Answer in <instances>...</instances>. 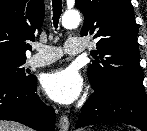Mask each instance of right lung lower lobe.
Here are the masks:
<instances>
[{
    "instance_id": "obj_1",
    "label": "right lung lower lobe",
    "mask_w": 147,
    "mask_h": 131,
    "mask_svg": "<svg viewBox=\"0 0 147 131\" xmlns=\"http://www.w3.org/2000/svg\"><path fill=\"white\" fill-rule=\"evenodd\" d=\"M36 78L27 82H0V120H12L37 131H54L55 111L36 94Z\"/></svg>"
}]
</instances>
